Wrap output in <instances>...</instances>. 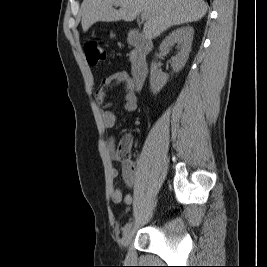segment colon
I'll return each mask as SVG.
<instances>
[{"mask_svg":"<svg viewBox=\"0 0 267 267\" xmlns=\"http://www.w3.org/2000/svg\"><path fill=\"white\" fill-rule=\"evenodd\" d=\"M87 61L90 65H97L106 58L105 49L97 42L91 41L85 45ZM117 156L120 161H128L131 157V141L124 138L120 141Z\"/></svg>","mask_w":267,"mask_h":267,"instance_id":"5ec220e1","label":"colon"}]
</instances>
